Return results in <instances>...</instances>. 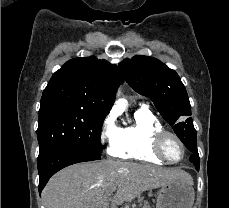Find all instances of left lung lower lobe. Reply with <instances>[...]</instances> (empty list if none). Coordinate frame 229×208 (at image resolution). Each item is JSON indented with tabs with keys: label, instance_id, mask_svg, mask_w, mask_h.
<instances>
[{
	"label": "left lung lower lobe",
	"instance_id": "obj_1",
	"mask_svg": "<svg viewBox=\"0 0 229 208\" xmlns=\"http://www.w3.org/2000/svg\"><path fill=\"white\" fill-rule=\"evenodd\" d=\"M183 143L193 153L189 159L194 164L197 171H199L200 159L197 150L196 140L192 142H183Z\"/></svg>",
	"mask_w": 229,
	"mask_h": 208
}]
</instances>
